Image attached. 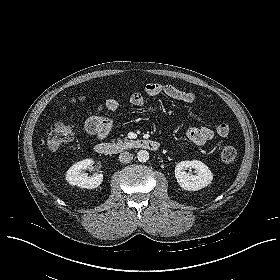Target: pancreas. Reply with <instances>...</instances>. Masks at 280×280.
<instances>
[{"label":"pancreas","mask_w":280,"mask_h":280,"mask_svg":"<svg viewBox=\"0 0 280 280\" xmlns=\"http://www.w3.org/2000/svg\"><path fill=\"white\" fill-rule=\"evenodd\" d=\"M119 144H129L131 141H129L128 139L124 138L123 140H121L120 138L117 139Z\"/></svg>","instance_id":"1"}]
</instances>
